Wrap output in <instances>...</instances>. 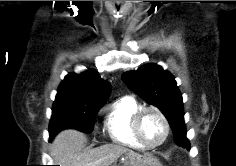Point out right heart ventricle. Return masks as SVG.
Returning a JSON list of instances; mask_svg holds the SVG:
<instances>
[{
  "label": "right heart ventricle",
  "instance_id": "1",
  "mask_svg": "<svg viewBox=\"0 0 236 166\" xmlns=\"http://www.w3.org/2000/svg\"><path fill=\"white\" fill-rule=\"evenodd\" d=\"M141 108L132 96L120 97L107 107L105 129L114 144L136 150L145 149L136 139L132 127L133 117Z\"/></svg>",
  "mask_w": 236,
  "mask_h": 166
}]
</instances>
